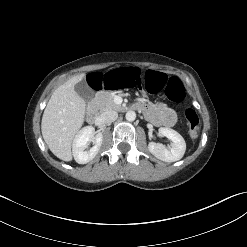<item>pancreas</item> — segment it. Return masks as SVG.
Listing matches in <instances>:
<instances>
[{
	"mask_svg": "<svg viewBox=\"0 0 247 247\" xmlns=\"http://www.w3.org/2000/svg\"><path fill=\"white\" fill-rule=\"evenodd\" d=\"M96 102L101 111L106 109L122 110L120 105L115 104L114 95L111 93H99Z\"/></svg>",
	"mask_w": 247,
	"mask_h": 247,
	"instance_id": "obj_1",
	"label": "pancreas"
}]
</instances>
